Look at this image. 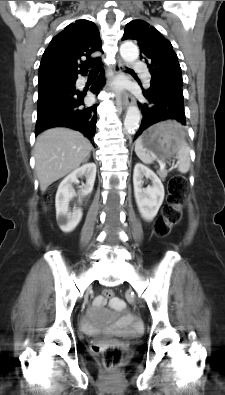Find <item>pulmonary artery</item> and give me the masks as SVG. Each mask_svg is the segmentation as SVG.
<instances>
[{
  "mask_svg": "<svg viewBox=\"0 0 225 395\" xmlns=\"http://www.w3.org/2000/svg\"><path fill=\"white\" fill-rule=\"evenodd\" d=\"M133 67H134L136 70H138V71L141 72V74H142V76H143V79H144L145 83H146L147 85H149V84H150V81H151V75H150V73L148 72V70L146 69V67L143 65V63H141V62H139V61H136V62H134Z\"/></svg>",
  "mask_w": 225,
  "mask_h": 395,
  "instance_id": "1",
  "label": "pulmonary artery"
}]
</instances>
